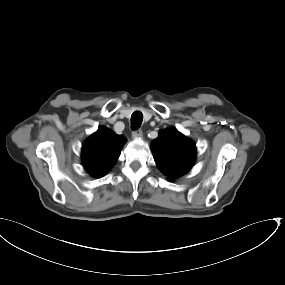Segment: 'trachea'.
<instances>
[{"mask_svg":"<svg viewBox=\"0 0 285 285\" xmlns=\"http://www.w3.org/2000/svg\"><path fill=\"white\" fill-rule=\"evenodd\" d=\"M143 121V114L139 111H135L131 116V128L133 130L138 129Z\"/></svg>","mask_w":285,"mask_h":285,"instance_id":"trachea-1","label":"trachea"}]
</instances>
